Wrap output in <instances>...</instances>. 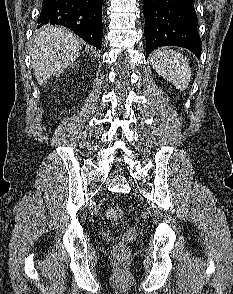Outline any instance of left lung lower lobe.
I'll use <instances>...</instances> for the list:
<instances>
[{
    "instance_id": "0a47b994",
    "label": "left lung lower lobe",
    "mask_w": 233,
    "mask_h": 294,
    "mask_svg": "<svg viewBox=\"0 0 233 294\" xmlns=\"http://www.w3.org/2000/svg\"><path fill=\"white\" fill-rule=\"evenodd\" d=\"M146 58L160 46H179L198 58L202 43L197 32L198 19L193 0H143Z\"/></svg>"
}]
</instances>
